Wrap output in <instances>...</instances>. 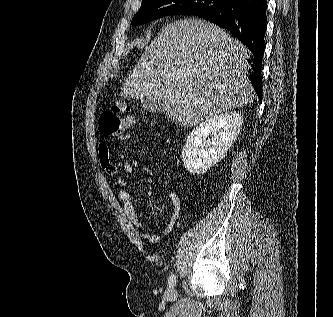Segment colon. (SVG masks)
Instances as JSON below:
<instances>
[{
    "instance_id": "colon-1",
    "label": "colon",
    "mask_w": 333,
    "mask_h": 317,
    "mask_svg": "<svg viewBox=\"0 0 333 317\" xmlns=\"http://www.w3.org/2000/svg\"><path fill=\"white\" fill-rule=\"evenodd\" d=\"M134 124L130 108L123 103L108 107L100 116L99 131L103 136L112 137L123 134Z\"/></svg>"
}]
</instances>
